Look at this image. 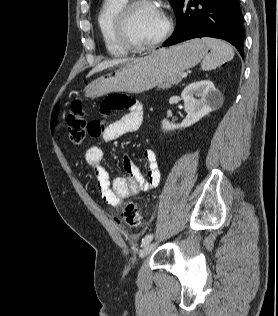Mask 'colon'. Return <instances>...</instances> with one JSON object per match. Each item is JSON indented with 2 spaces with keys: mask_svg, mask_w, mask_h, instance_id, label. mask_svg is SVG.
I'll use <instances>...</instances> for the list:
<instances>
[{
  "mask_svg": "<svg viewBox=\"0 0 278 316\" xmlns=\"http://www.w3.org/2000/svg\"><path fill=\"white\" fill-rule=\"evenodd\" d=\"M87 132L91 135H97L99 128L95 127L93 123H88L82 103L74 101L67 117L69 143L74 146L81 145L85 140ZM122 220L131 228H137L142 224V215L134 203H128L125 206L122 212Z\"/></svg>",
  "mask_w": 278,
  "mask_h": 316,
  "instance_id": "5ec220e1",
  "label": "colon"
}]
</instances>
